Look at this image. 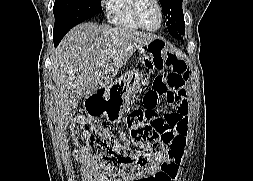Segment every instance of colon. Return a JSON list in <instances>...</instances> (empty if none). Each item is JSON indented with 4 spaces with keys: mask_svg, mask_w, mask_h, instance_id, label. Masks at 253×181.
<instances>
[{
    "mask_svg": "<svg viewBox=\"0 0 253 181\" xmlns=\"http://www.w3.org/2000/svg\"><path fill=\"white\" fill-rule=\"evenodd\" d=\"M148 54L153 55L157 67L169 70L154 81L146 94L144 108L134 107L126 117L129 136L144 150H132L101 125L85 117L73 124V134L80 149L89 154L104 171L138 176L152 167L164 166L176 156L174 143L180 115L187 104L185 84L189 73L179 47H168L167 41L153 38L148 41ZM164 103V115L158 112Z\"/></svg>",
    "mask_w": 253,
    "mask_h": 181,
    "instance_id": "colon-1",
    "label": "colon"
}]
</instances>
